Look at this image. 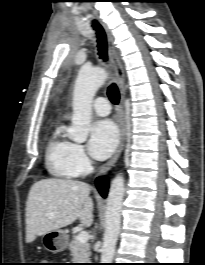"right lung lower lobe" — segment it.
<instances>
[{
    "label": "right lung lower lobe",
    "mask_w": 205,
    "mask_h": 265,
    "mask_svg": "<svg viewBox=\"0 0 205 265\" xmlns=\"http://www.w3.org/2000/svg\"><path fill=\"white\" fill-rule=\"evenodd\" d=\"M96 186L100 194L105 198L108 190V183L104 177H98L96 180Z\"/></svg>",
    "instance_id": "obj_1"
}]
</instances>
